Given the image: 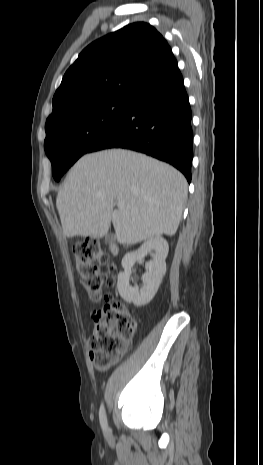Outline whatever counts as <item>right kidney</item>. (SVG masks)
Returning <instances> with one entry per match:
<instances>
[{"label": "right kidney", "instance_id": "ca27d5eb", "mask_svg": "<svg viewBox=\"0 0 263 465\" xmlns=\"http://www.w3.org/2000/svg\"><path fill=\"white\" fill-rule=\"evenodd\" d=\"M168 251L167 241L156 236L144 242L138 250L125 254L121 262L124 271L118 275L117 288L126 302L142 306L153 299L166 272ZM147 254H151L152 260L146 264L147 271L142 276L144 286L139 289L138 286L130 285L131 269L135 262L141 261Z\"/></svg>", "mask_w": 263, "mask_h": 465}]
</instances>
